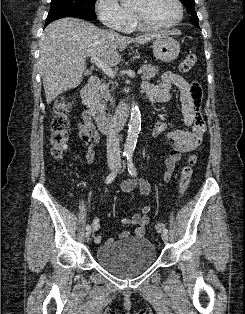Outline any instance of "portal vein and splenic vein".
<instances>
[{
  "label": "portal vein and splenic vein",
  "instance_id": "obj_1",
  "mask_svg": "<svg viewBox=\"0 0 245 314\" xmlns=\"http://www.w3.org/2000/svg\"><path fill=\"white\" fill-rule=\"evenodd\" d=\"M91 62L94 63L98 68H100L106 75L113 78L114 72L112 71L111 67L105 63L104 61L100 60L97 56L91 57ZM142 73V70H138L137 74L140 75Z\"/></svg>",
  "mask_w": 245,
  "mask_h": 314
}]
</instances>
